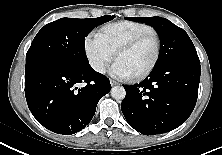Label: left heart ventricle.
I'll return each mask as SVG.
<instances>
[{"label": "left heart ventricle", "mask_w": 222, "mask_h": 155, "mask_svg": "<svg viewBox=\"0 0 222 155\" xmlns=\"http://www.w3.org/2000/svg\"><path fill=\"white\" fill-rule=\"evenodd\" d=\"M155 55L156 40L150 36L132 50L122 53L117 59L127 67L133 76L147 69L153 62Z\"/></svg>", "instance_id": "obj_1"}]
</instances>
